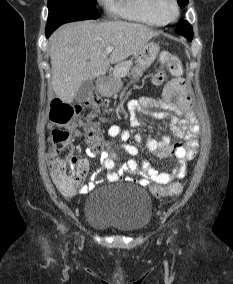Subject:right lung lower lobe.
Masks as SVG:
<instances>
[{
	"instance_id": "1",
	"label": "right lung lower lobe",
	"mask_w": 233,
	"mask_h": 284,
	"mask_svg": "<svg viewBox=\"0 0 233 284\" xmlns=\"http://www.w3.org/2000/svg\"><path fill=\"white\" fill-rule=\"evenodd\" d=\"M52 32H53V31H51V30L46 31V37H49Z\"/></svg>"
}]
</instances>
